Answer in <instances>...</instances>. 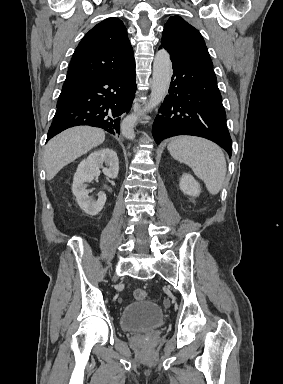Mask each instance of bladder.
<instances>
[{
	"label": "bladder",
	"instance_id": "bladder-1",
	"mask_svg": "<svg viewBox=\"0 0 283 384\" xmlns=\"http://www.w3.org/2000/svg\"><path fill=\"white\" fill-rule=\"evenodd\" d=\"M164 315L157 302L139 301L126 304L119 314V326L123 330L138 331L156 329L162 325Z\"/></svg>",
	"mask_w": 283,
	"mask_h": 384
}]
</instances>
